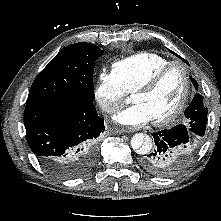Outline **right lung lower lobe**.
<instances>
[{
	"label": "right lung lower lobe",
	"instance_id": "98d812e1",
	"mask_svg": "<svg viewBox=\"0 0 221 221\" xmlns=\"http://www.w3.org/2000/svg\"><path fill=\"white\" fill-rule=\"evenodd\" d=\"M24 125L29 147L52 174L71 179L95 165L96 140L105 127L93 101L27 104Z\"/></svg>",
	"mask_w": 221,
	"mask_h": 221
}]
</instances>
